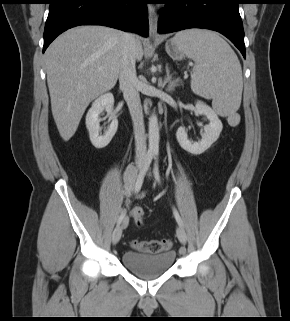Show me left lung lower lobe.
Instances as JSON below:
<instances>
[{
	"instance_id": "0a47b994",
	"label": "left lung lower lobe",
	"mask_w": 290,
	"mask_h": 321,
	"mask_svg": "<svg viewBox=\"0 0 290 321\" xmlns=\"http://www.w3.org/2000/svg\"><path fill=\"white\" fill-rule=\"evenodd\" d=\"M158 32L203 28L226 36L246 57L244 30L238 10L240 0H164Z\"/></svg>"
}]
</instances>
